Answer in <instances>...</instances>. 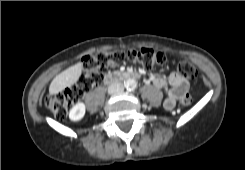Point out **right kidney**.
Listing matches in <instances>:
<instances>
[{
  "mask_svg": "<svg viewBox=\"0 0 245 170\" xmlns=\"http://www.w3.org/2000/svg\"><path fill=\"white\" fill-rule=\"evenodd\" d=\"M86 107L85 104L82 102H78L75 104L70 112H69V118L71 121H79L81 120L85 115Z\"/></svg>",
  "mask_w": 245,
  "mask_h": 170,
  "instance_id": "obj_1",
  "label": "right kidney"
}]
</instances>
